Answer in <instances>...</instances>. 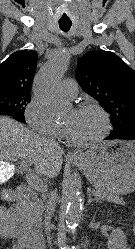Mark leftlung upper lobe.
Returning <instances> with one entry per match:
<instances>
[{
  "instance_id": "1",
  "label": "left lung upper lobe",
  "mask_w": 135,
  "mask_h": 249,
  "mask_svg": "<svg viewBox=\"0 0 135 249\" xmlns=\"http://www.w3.org/2000/svg\"><path fill=\"white\" fill-rule=\"evenodd\" d=\"M76 79L110 113L113 132L135 120V71L113 52L89 51L78 59Z\"/></svg>"
}]
</instances>
